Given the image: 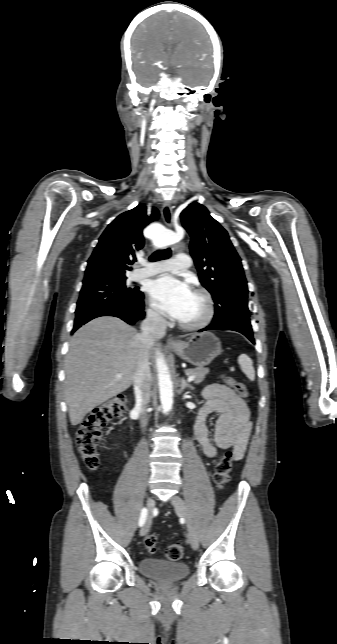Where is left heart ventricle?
Masks as SVG:
<instances>
[{
	"label": "left heart ventricle",
	"instance_id": "obj_1",
	"mask_svg": "<svg viewBox=\"0 0 337 644\" xmlns=\"http://www.w3.org/2000/svg\"><path fill=\"white\" fill-rule=\"evenodd\" d=\"M204 313V304L202 299L193 293L189 305L180 319L184 322H193L198 320Z\"/></svg>",
	"mask_w": 337,
	"mask_h": 644
}]
</instances>
